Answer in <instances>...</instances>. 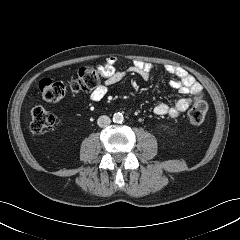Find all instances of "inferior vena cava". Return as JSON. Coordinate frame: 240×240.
I'll use <instances>...</instances> for the list:
<instances>
[{
    "label": "inferior vena cava",
    "instance_id": "1",
    "mask_svg": "<svg viewBox=\"0 0 240 240\" xmlns=\"http://www.w3.org/2000/svg\"><path fill=\"white\" fill-rule=\"evenodd\" d=\"M110 123H111V119L108 116H105V115L100 116L97 120L98 126L102 127V128L109 126Z\"/></svg>",
    "mask_w": 240,
    "mask_h": 240
}]
</instances>
